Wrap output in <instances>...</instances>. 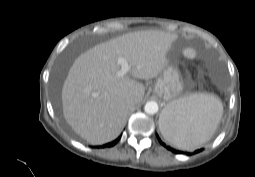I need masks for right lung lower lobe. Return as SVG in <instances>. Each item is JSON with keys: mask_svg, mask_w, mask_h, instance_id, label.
<instances>
[{"mask_svg": "<svg viewBox=\"0 0 255 177\" xmlns=\"http://www.w3.org/2000/svg\"><path fill=\"white\" fill-rule=\"evenodd\" d=\"M120 137H121V136H119V137H118L116 140H114L113 142L103 145L102 147H111V146H114V145L120 140Z\"/></svg>", "mask_w": 255, "mask_h": 177, "instance_id": "1", "label": "right lung lower lobe"}]
</instances>
